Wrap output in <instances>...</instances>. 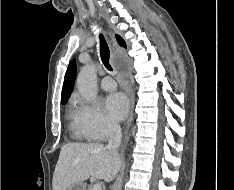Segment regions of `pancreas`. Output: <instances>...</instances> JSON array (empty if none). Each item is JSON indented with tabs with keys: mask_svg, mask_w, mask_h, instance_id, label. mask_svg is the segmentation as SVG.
<instances>
[{
	"mask_svg": "<svg viewBox=\"0 0 234 190\" xmlns=\"http://www.w3.org/2000/svg\"><path fill=\"white\" fill-rule=\"evenodd\" d=\"M93 185H89L87 190H92Z\"/></svg>",
	"mask_w": 234,
	"mask_h": 190,
	"instance_id": "obj_1",
	"label": "pancreas"
}]
</instances>
